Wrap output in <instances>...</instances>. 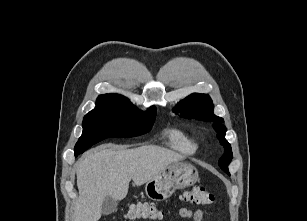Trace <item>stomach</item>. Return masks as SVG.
<instances>
[{"instance_id":"stomach-1","label":"stomach","mask_w":307,"mask_h":221,"mask_svg":"<svg viewBox=\"0 0 307 221\" xmlns=\"http://www.w3.org/2000/svg\"><path fill=\"white\" fill-rule=\"evenodd\" d=\"M198 180L197 169L186 162H175L167 166L145 186V193L151 200L169 198L176 189L193 185Z\"/></svg>"}]
</instances>
